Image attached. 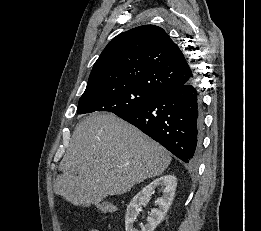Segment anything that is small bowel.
<instances>
[{
  "mask_svg": "<svg viewBox=\"0 0 261 231\" xmlns=\"http://www.w3.org/2000/svg\"><path fill=\"white\" fill-rule=\"evenodd\" d=\"M83 231H100V230L97 228H86Z\"/></svg>",
  "mask_w": 261,
  "mask_h": 231,
  "instance_id": "small-bowel-1",
  "label": "small bowel"
}]
</instances>
